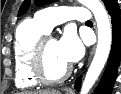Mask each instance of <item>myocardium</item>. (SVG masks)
Returning a JSON list of instances; mask_svg holds the SVG:
<instances>
[{"instance_id": "f54148a6", "label": "myocardium", "mask_w": 121, "mask_h": 94, "mask_svg": "<svg viewBox=\"0 0 121 94\" xmlns=\"http://www.w3.org/2000/svg\"><path fill=\"white\" fill-rule=\"evenodd\" d=\"M49 39H53L49 35L41 36L35 43L31 54V71L34 78L41 84L54 85L61 83L70 75L72 67L69 65L64 71L56 77H50L45 70V44Z\"/></svg>"}]
</instances>
